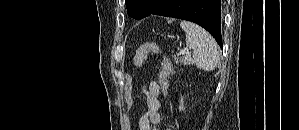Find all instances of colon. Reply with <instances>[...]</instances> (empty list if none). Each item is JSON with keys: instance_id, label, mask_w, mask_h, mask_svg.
Segmentation results:
<instances>
[{"instance_id": "obj_1", "label": "colon", "mask_w": 299, "mask_h": 130, "mask_svg": "<svg viewBox=\"0 0 299 130\" xmlns=\"http://www.w3.org/2000/svg\"><path fill=\"white\" fill-rule=\"evenodd\" d=\"M152 53H159V49L156 44L154 43H145L142 44L136 51L134 57H133V65L135 67H141L144 62L146 61L147 57L149 54ZM172 70V63L170 62L169 59L163 58L162 61V73H161V79H162V86L164 91L168 90V84L164 77L169 74ZM167 130H171L168 128Z\"/></svg>"}]
</instances>
